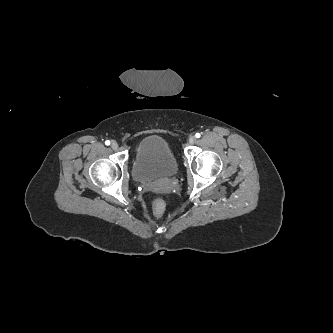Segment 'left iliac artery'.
I'll list each match as a JSON object with an SVG mask.
<instances>
[{"label": "left iliac artery", "mask_w": 333, "mask_h": 333, "mask_svg": "<svg viewBox=\"0 0 333 333\" xmlns=\"http://www.w3.org/2000/svg\"><path fill=\"white\" fill-rule=\"evenodd\" d=\"M195 136H196V138H200L201 135H200V133H196Z\"/></svg>", "instance_id": "1"}]
</instances>
